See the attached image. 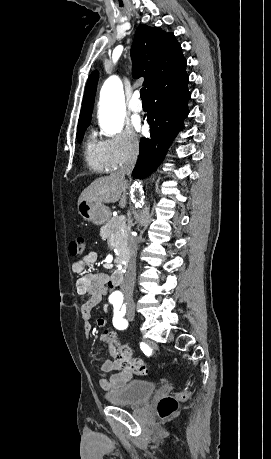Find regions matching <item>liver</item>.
I'll list each match as a JSON object with an SVG mask.
<instances>
[{
  "label": "liver",
  "mask_w": 271,
  "mask_h": 459,
  "mask_svg": "<svg viewBox=\"0 0 271 459\" xmlns=\"http://www.w3.org/2000/svg\"><path fill=\"white\" fill-rule=\"evenodd\" d=\"M127 180L124 178V174L120 172H114L110 176H104V178H97L94 180L84 192H82L78 206L81 202H103V204H114L119 202L121 208L126 206V198L122 196V192H126Z\"/></svg>",
  "instance_id": "1"
}]
</instances>
